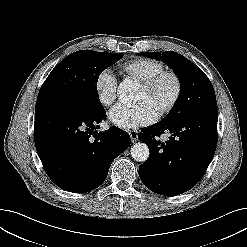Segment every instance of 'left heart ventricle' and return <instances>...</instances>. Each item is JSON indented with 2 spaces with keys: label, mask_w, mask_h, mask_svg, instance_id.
<instances>
[{
  "label": "left heart ventricle",
  "mask_w": 247,
  "mask_h": 247,
  "mask_svg": "<svg viewBox=\"0 0 247 247\" xmlns=\"http://www.w3.org/2000/svg\"><path fill=\"white\" fill-rule=\"evenodd\" d=\"M175 90L174 81L167 77L162 79L150 92H147L142 86L138 92L136 101H149L152 106L159 111L172 97Z\"/></svg>",
  "instance_id": "1"
}]
</instances>
